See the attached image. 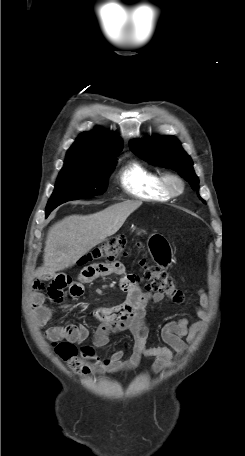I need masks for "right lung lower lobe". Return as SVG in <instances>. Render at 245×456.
Here are the masks:
<instances>
[{"mask_svg":"<svg viewBox=\"0 0 245 456\" xmlns=\"http://www.w3.org/2000/svg\"><path fill=\"white\" fill-rule=\"evenodd\" d=\"M51 211H46V216H48L50 214Z\"/></svg>","mask_w":245,"mask_h":456,"instance_id":"right-lung-lower-lobe-1","label":"right lung lower lobe"}]
</instances>
